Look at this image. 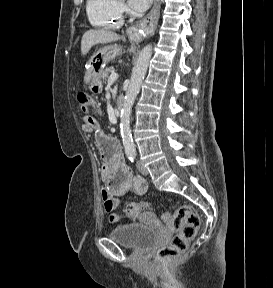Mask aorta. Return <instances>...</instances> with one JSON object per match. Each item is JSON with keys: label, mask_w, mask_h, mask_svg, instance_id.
I'll return each mask as SVG.
<instances>
[{"label": "aorta", "mask_w": 273, "mask_h": 288, "mask_svg": "<svg viewBox=\"0 0 273 288\" xmlns=\"http://www.w3.org/2000/svg\"><path fill=\"white\" fill-rule=\"evenodd\" d=\"M151 56L152 45H147L140 51L136 65L133 68L130 84L126 91L121 108L120 131L125 153L127 155H134L136 153L130 130V115L133 103L139 93L142 81L146 75Z\"/></svg>", "instance_id": "1"}]
</instances>
